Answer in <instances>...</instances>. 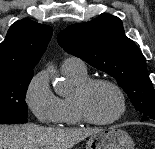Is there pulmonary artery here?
<instances>
[{
	"label": "pulmonary artery",
	"instance_id": "pulmonary-artery-1",
	"mask_svg": "<svg viewBox=\"0 0 155 149\" xmlns=\"http://www.w3.org/2000/svg\"><path fill=\"white\" fill-rule=\"evenodd\" d=\"M63 72L85 73V63L77 57H67L62 63Z\"/></svg>",
	"mask_w": 155,
	"mask_h": 149
}]
</instances>
